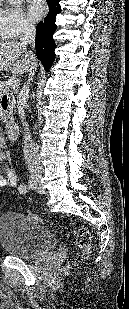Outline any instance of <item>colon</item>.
Listing matches in <instances>:
<instances>
[{"mask_svg":"<svg viewBox=\"0 0 129 309\" xmlns=\"http://www.w3.org/2000/svg\"><path fill=\"white\" fill-rule=\"evenodd\" d=\"M28 216L37 222L41 221V219L34 213L28 212ZM75 241L78 249L81 250L82 254L87 255L91 245V236L88 229L84 227L79 228L75 232Z\"/></svg>","mask_w":129,"mask_h":309,"instance_id":"colon-1","label":"colon"}]
</instances>
